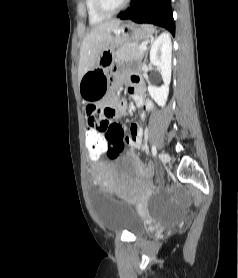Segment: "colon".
Wrapping results in <instances>:
<instances>
[{"mask_svg":"<svg viewBox=\"0 0 238 278\" xmlns=\"http://www.w3.org/2000/svg\"><path fill=\"white\" fill-rule=\"evenodd\" d=\"M84 135L88 153L86 162H100V159L105 154L108 160H114L124 150V143L121 137H110V144H108V141H105V137H99L97 130H84Z\"/></svg>","mask_w":238,"mask_h":278,"instance_id":"obj_1","label":"colon"}]
</instances>
